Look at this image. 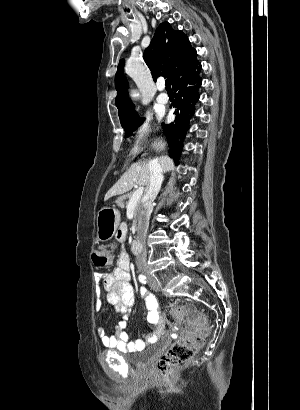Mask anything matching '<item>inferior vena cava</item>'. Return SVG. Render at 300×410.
Instances as JSON below:
<instances>
[{"mask_svg":"<svg viewBox=\"0 0 300 410\" xmlns=\"http://www.w3.org/2000/svg\"><path fill=\"white\" fill-rule=\"evenodd\" d=\"M149 184L143 197V206L138 211V237L140 254L136 257V265L139 271L147 269V252L145 249L146 233L149 226L150 215L153 210V202L158 195L163 181V169L157 160L149 161Z\"/></svg>","mask_w":300,"mask_h":410,"instance_id":"obj_1","label":"inferior vena cava"}]
</instances>
